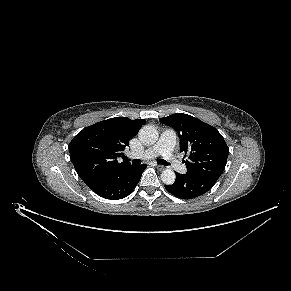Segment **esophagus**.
I'll use <instances>...</instances> for the list:
<instances>
[{
    "label": "esophagus",
    "instance_id": "obj_1",
    "mask_svg": "<svg viewBox=\"0 0 291 291\" xmlns=\"http://www.w3.org/2000/svg\"><path fill=\"white\" fill-rule=\"evenodd\" d=\"M155 166L159 171H162L165 169V166H163V165L156 164Z\"/></svg>",
    "mask_w": 291,
    "mask_h": 291
}]
</instances>
